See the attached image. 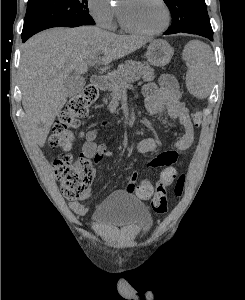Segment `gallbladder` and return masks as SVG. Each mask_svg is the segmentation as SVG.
<instances>
[{
	"label": "gallbladder",
	"mask_w": 245,
	"mask_h": 300,
	"mask_svg": "<svg viewBox=\"0 0 245 300\" xmlns=\"http://www.w3.org/2000/svg\"><path fill=\"white\" fill-rule=\"evenodd\" d=\"M85 82V78L81 75L71 74L67 76L64 80V86L68 96L72 97L81 92Z\"/></svg>",
	"instance_id": "gallbladder-1"
}]
</instances>
